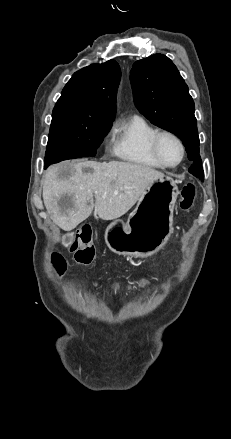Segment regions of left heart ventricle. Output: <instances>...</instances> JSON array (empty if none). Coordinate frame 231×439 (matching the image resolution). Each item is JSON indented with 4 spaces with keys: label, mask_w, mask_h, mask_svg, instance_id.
Instances as JSON below:
<instances>
[{
    "label": "left heart ventricle",
    "mask_w": 231,
    "mask_h": 439,
    "mask_svg": "<svg viewBox=\"0 0 231 439\" xmlns=\"http://www.w3.org/2000/svg\"><path fill=\"white\" fill-rule=\"evenodd\" d=\"M159 152L163 160L168 164H176L181 157L178 143L170 136H163L159 141Z\"/></svg>",
    "instance_id": "1"
}]
</instances>
